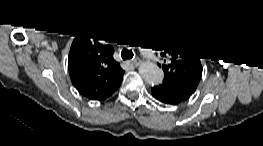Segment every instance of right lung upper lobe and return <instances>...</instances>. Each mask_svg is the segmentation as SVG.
<instances>
[{"label":"right lung upper lobe","mask_w":263,"mask_h":146,"mask_svg":"<svg viewBox=\"0 0 263 146\" xmlns=\"http://www.w3.org/2000/svg\"><path fill=\"white\" fill-rule=\"evenodd\" d=\"M95 27H84L77 33L68 56L73 86L91 100L102 101L120 86L124 74L113 58L110 45L98 42Z\"/></svg>","instance_id":"obj_1"}]
</instances>
